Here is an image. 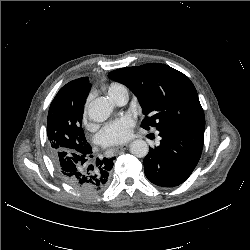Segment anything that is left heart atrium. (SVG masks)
<instances>
[{"mask_svg":"<svg viewBox=\"0 0 250 250\" xmlns=\"http://www.w3.org/2000/svg\"><path fill=\"white\" fill-rule=\"evenodd\" d=\"M134 125L135 119L131 115L112 121L99 133V142L105 147L123 144L132 137Z\"/></svg>","mask_w":250,"mask_h":250,"instance_id":"1","label":"left heart atrium"}]
</instances>
